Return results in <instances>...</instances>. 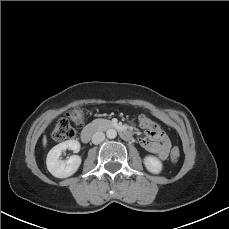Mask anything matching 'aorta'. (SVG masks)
Returning <instances> with one entry per match:
<instances>
[{"label":"aorta","instance_id":"aorta-1","mask_svg":"<svg viewBox=\"0 0 229 229\" xmlns=\"http://www.w3.org/2000/svg\"><path fill=\"white\" fill-rule=\"evenodd\" d=\"M106 135L109 139H114L117 136V131L115 129H108Z\"/></svg>","mask_w":229,"mask_h":229}]
</instances>
